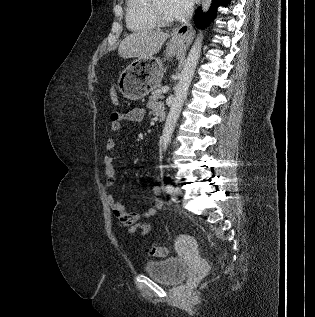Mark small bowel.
I'll use <instances>...</instances> for the list:
<instances>
[{"instance_id":"small-bowel-1","label":"small bowel","mask_w":315,"mask_h":317,"mask_svg":"<svg viewBox=\"0 0 315 317\" xmlns=\"http://www.w3.org/2000/svg\"><path fill=\"white\" fill-rule=\"evenodd\" d=\"M148 108L157 113L159 110L164 109V106L158 101H150L148 103ZM144 116L145 109L141 107L132 108L127 112L113 111L110 114V128L112 131H118L121 128V123L123 121L141 122ZM115 148V140L112 138L107 139L105 143V150L107 154L104 156L107 187H112L116 180L114 158L111 155V152ZM152 192L155 196H158L161 193V188L156 185L152 188ZM108 203L117 221L128 229L129 234H134L137 231H140L142 237H146L151 231V225L148 220L154 217L158 210L163 206V201L158 197L152 200V207L143 213L128 212L113 195L108 196Z\"/></svg>"}]
</instances>
